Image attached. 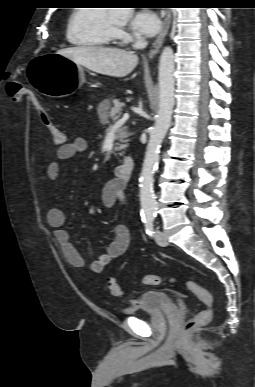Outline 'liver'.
Listing matches in <instances>:
<instances>
[{
    "mask_svg": "<svg viewBox=\"0 0 255 387\" xmlns=\"http://www.w3.org/2000/svg\"><path fill=\"white\" fill-rule=\"evenodd\" d=\"M57 54L74 61L90 71L112 77H125L138 64V56L133 51L119 48L72 47L61 49Z\"/></svg>",
    "mask_w": 255,
    "mask_h": 387,
    "instance_id": "1",
    "label": "liver"
}]
</instances>
